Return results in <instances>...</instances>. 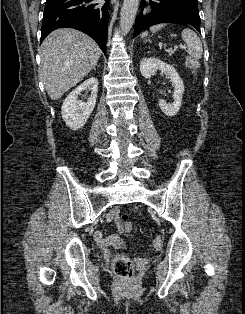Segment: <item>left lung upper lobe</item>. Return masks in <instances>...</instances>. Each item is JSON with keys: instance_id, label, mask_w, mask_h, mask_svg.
Here are the masks:
<instances>
[{"instance_id": "1", "label": "left lung upper lobe", "mask_w": 245, "mask_h": 314, "mask_svg": "<svg viewBox=\"0 0 245 314\" xmlns=\"http://www.w3.org/2000/svg\"><path fill=\"white\" fill-rule=\"evenodd\" d=\"M172 1L181 4H189L198 8V0H172Z\"/></svg>"}]
</instances>
